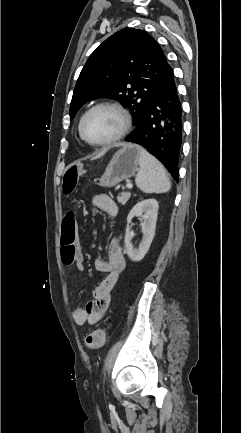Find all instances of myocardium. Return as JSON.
<instances>
[{
    "label": "myocardium",
    "mask_w": 241,
    "mask_h": 433,
    "mask_svg": "<svg viewBox=\"0 0 241 433\" xmlns=\"http://www.w3.org/2000/svg\"><path fill=\"white\" fill-rule=\"evenodd\" d=\"M102 108L111 109V110L115 111L121 118V127H120L119 131L115 135H113L112 137H110L104 141H100V142H91L88 139H86V137L84 136L83 125H84L86 118L92 112H94L98 109H102ZM130 127H131V117H130L128 111L121 104H119L117 102H112V101H103V102H99V103L91 106L82 115L80 122H79L78 130H79L80 138L85 143H87L90 146L103 147V146H109V145L115 144L118 141H120L122 138H124L126 136L128 131L130 130Z\"/></svg>",
    "instance_id": "1"
}]
</instances>
